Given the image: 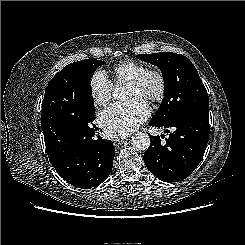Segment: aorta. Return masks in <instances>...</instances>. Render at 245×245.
Masks as SVG:
<instances>
[{
	"mask_svg": "<svg viewBox=\"0 0 245 245\" xmlns=\"http://www.w3.org/2000/svg\"><path fill=\"white\" fill-rule=\"evenodd\" d=\"M113 96L118 100H124L125 92L121 88H116L113 92ZM131 144L134 149L146 150L150 146V137L148 134L143 132L136 133L131 138Z\"/></svg>",
	"mask_w": 245,
	"mask_h": 245,
	"instance_id": "obj_1",
	"label": "aorta"
}]
</instances>
